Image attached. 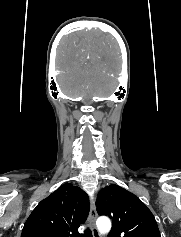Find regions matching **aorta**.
Segmentation results:
<instances>
[{"label": "aorta", "instance_id": "1", "mask_svg": "<svg viewBox=\"0 0 181 237\" xmlns=\"http://www.w3.org/2000/svg\"><path fill=\"white\" fill-rule=\"evenodd\" d=\"M96 225H97L101 234H106L111 229V222H110L109 218L104 217V216L99 217L97 219Z\"/></svg>", "mask_w": 181, "mask_h": 237}]
</instances>
